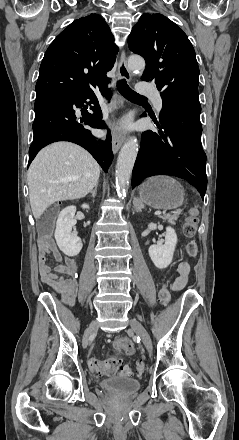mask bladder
<instances>
[{"label":"bladder","instance_id":"bladder-1","mask_svg":"<svg viewBox=\"0 0 239 440\" xmlns=\"http://www.w3.org/2000/svg\"><path fill=\"white\" fill-rule=\"evenodd\" d=\"M99 386L105 391L131 395L141 388V382L132 377L116 376L101 380Z\"/></svg>","mask_w":239,"mask_h":440}]
</instances>
